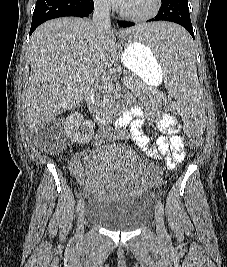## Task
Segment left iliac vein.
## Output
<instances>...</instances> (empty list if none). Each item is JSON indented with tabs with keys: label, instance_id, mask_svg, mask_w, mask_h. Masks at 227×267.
I'll list each match as a JSON object with an SVG mask.
<instances>
[{
	"label": "left iliac vein",
	"instance_id": "obj_1",
	"mask_svg": "<svg viewBox=\"0 0 227 267\" xmlns=\"http://www.w3.org/2000/svg\"><path fill=\"white\" fill-rule=\"evenodd\" d=\"M155 222H156V231L157 234L160 237H165L166 236V229H165V225H164V220L162 217V213L159 210V208L155 209Z\"/></svg>",
	"mask_w": 227,
	"mask_h": 267
}]
</instances>
